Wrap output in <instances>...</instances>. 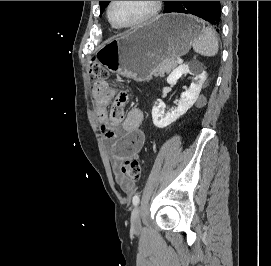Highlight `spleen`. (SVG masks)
<instances>
[{
    "label": "spleen",
    "instance_id": "spleen-1",
    "mask_svg": "<svg viewBox=\"0 0 271 266\" xmlns=\"http://www.w3.org/2000/svg\"><path fill=\"white\" fill-rule=\"evenodd\" d=\"M196 53L212 57L218 53V40L215 32L209 27H203L200 36L192 43Z\"/></svg>",
    "mask_w": 271,
    "mask_h": 266
}]
</instances>
